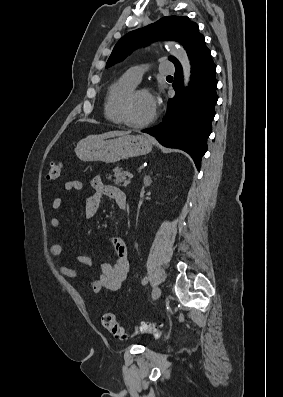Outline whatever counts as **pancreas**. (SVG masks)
I'll list each match as a JSON object with an SVG mask.
<instances>
[{
	"instance_id": "cf45deb5",
	"label": "pancreas",
	"mask_w": 283,
	"mask_h": 397,
	"mask_svg": "<svg viewBox=\"0 0 283 397\" xmlns=\"http://www.w3.org/2000/svg\"><path fill=\"white\" fill-rule=\"evenodd\" d=\"M113 172H114V180H113V182L116 185H119V186L122 185V186L126 187V186H128L131 183L130 179L127 178V172L124 171L123 169H121L119 167H116V168L113 169ZM111 178H112L111 175H109L107 177V179H109V180H111Z\"/></svg>"
}]
</instances>
